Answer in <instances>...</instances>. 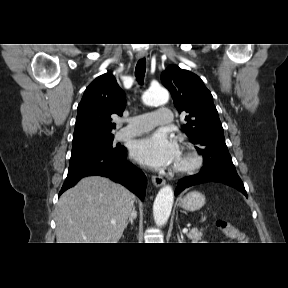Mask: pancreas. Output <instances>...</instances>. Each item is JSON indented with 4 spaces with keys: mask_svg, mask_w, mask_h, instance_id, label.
<instances>
[{
    "mask_svg": "<svg viewBox=\"0 0 288 288\" xmlns=\"http://www.w3.org/2000/svg\"><path fill=\"white\" fill-rule=\"evenodd\" d=\"M187 237L192 240L193 243H197L202 238V230L199 231L194 228L187 234Z\"/></svg>",
    "mask_w": 288,
    "mask_h": 288,
    "instance_id": "pancreas-1",
    "label": "pancreas"
}]
</instances>
